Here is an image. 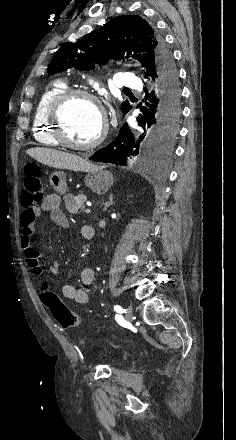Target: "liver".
I'll list each match as a JSON object with an SVG mask.
<instances>
[{"label": "liver", "instance_id": "liver-1", "mask_svg": "<svg viewBox=\"0 0 236 440\" xmlns=\"http://www.w3.org/2000/svg\"><path fill=\"white\" fill-rule=\"evenodd\" d=\"M26 153L38 162L58 169L89 172L97 167L77 155L49 148H31Z\"/></svg>", "mask_w": 236, "mask_h": 440}]
</instances>
